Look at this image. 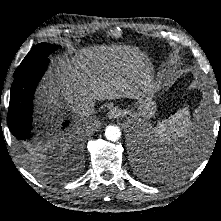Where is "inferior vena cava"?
<instances>
[{
  "label": "inferior vena cava",
  "mask_w": 221,
  "mask_h": 221,
  "mask_svg": "<svg viewBox=\"0 0 221 221\" xmlns=\"http://www.w3.org/2000/svg\"><path fill=\"white\" fill-rule=\"evenodd\" d=\"M95 102L90 98H82L74 105V111L82 116L90 115L94 112Z\"/></svg>",
  "instance_id": "inferior-vena-cava-1"
}]
</instances>
